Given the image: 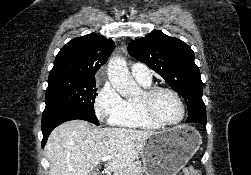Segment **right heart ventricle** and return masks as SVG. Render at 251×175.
Returning a JSON list of instances; mask_svg holds the SVG:
<instances>
[{
  "label": "right heart ventricle",
  "mask_w": 251,
  "mask_h": 175,
  "mask_svg": "<svg viewBox=\"0 0 251 175\" xmlns=\"http://www.w3.org/2000/svg\"><path fill=\"white\" fill-rule=\"evenodd\" d=\"M149 88L150 84H142ZM138 100H129L126 102V110L117 125L126 128H139L145 130H155L158 127L150 122L140 111Z\"/></svg>",
  "instance_id": "e07e8e85"
}]
</instances>
